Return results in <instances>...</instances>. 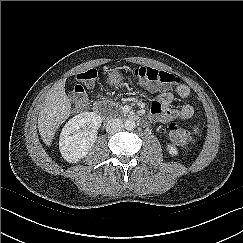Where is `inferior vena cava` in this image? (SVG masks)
<instances>
[{
  "label": "inferior vena cava",
  "mask_w": 243,
  "mask_h": 243,
  "mask_svg": "<svg viewBox=\"0 0 243 243\" xmlns=\"http://www.w3.org/2000/svg\"><path fill=\"white\" fill-rule=\"evenodd\" d=\"M123 127V122L119 118H111L105 124L106 131L109 134L117 133L121 131Z\"/></svg>",
  "instance_id": "1"
}]
</instances>
